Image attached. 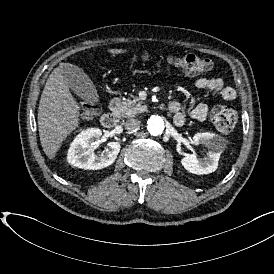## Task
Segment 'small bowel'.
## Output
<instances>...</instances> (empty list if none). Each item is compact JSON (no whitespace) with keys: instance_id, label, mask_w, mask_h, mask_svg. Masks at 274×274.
I'll return each instance as SVG.
<instances>
[{"instance_id":"obj_1","label":"small bowel","mask_w":274,"mask_h":274,"mask_svg":"<svg viewBox=\"0 0 274 274\" xmlns=\"http://www.w3.org/2000/svg\"><path fill=\"white\" fill-rule=\"evenodd\" d=\"M195 88L210 90L220 94L224 102H232L236 99L237 93L234 88L225 84L220 77L199 78L194 83ZM169 109L174 114V123L177 126H183L186 122V112L181 109L177 100L169 102ZM209 112V107L205 103L197 104L191 111V116L197 121H204Z\"/></svg>"}]
</instances>
